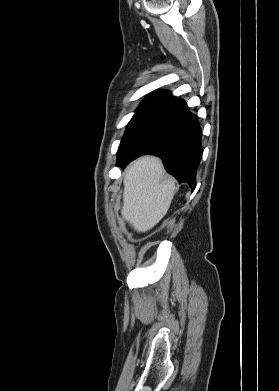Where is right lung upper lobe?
Instances as JSON below:
<instances>
[{
    "label": "right lung upper lobe",
    "instance_id": "cb5924a9",
    "mask_svg": "<svg viewBox=\"0 0 279 391\" xmlns=\"http://www.w3.org/2000/svg\"><path fill=\"white\" fill-rule=\"evenodd\" d=\"M179 98L173 97L169 91L159 90L148 95L140 104L138 109H159L163 110L171 104L178 101Z\"/></svg>",
    "mask_w": 279,
    "mask_h": 391
}]
</instances>
